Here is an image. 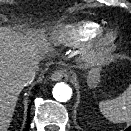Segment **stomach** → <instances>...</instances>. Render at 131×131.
Returning a JSON list of instances; mask_svg holds the SVG:
<instances>
[{"label":"stomach","mask_w":131,"mask_h":131,"mask_svg":"<svg viewBox=\"0 0 131 131\" xmlns=\"http://www.w3.org/2000/svg\"><path fill=\"white\" fill-rule=\"evenodd\" d=\"M101 68L98 65H93L87 72V82L90 87H96L101 78Z\"/></svg>","instance_id":"stomach-1"}]
</instances>
